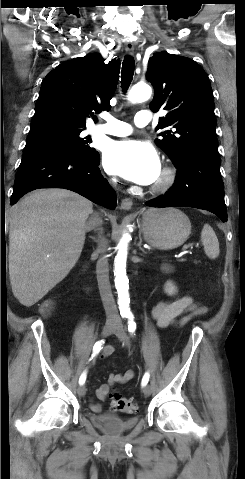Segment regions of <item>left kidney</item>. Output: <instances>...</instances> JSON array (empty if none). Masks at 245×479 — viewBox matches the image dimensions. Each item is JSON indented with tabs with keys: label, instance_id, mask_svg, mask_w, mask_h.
<instances>
[{
	"label": "left kidney",
	"instance_id": "left-kidney-1",
	"mask_svg": "<svg viewBox=\"0 0 245 479\" xmlns=\"http://www.w3.org/2000/svg\"><path fill=\"white\" fill-rule=\"evenodd\" d=\"M161 270L168 273V272H171L172 271V266L168 265V264H164L162 267H161ZM164 291L165 293H167L168 295L172 296V295H175L176 292H177V288L176 286L171 282V281H167L164 285Z\"/></svg>",
	"mask_w": 245,
	"mask_h": 479
}]
</instances>
